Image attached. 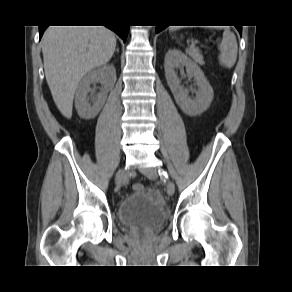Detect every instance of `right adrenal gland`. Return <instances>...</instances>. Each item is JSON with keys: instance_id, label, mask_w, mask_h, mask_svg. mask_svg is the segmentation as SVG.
Instances as JSON below:
<instances>
[{"instance_id": "2a0ac1e0", "label": "right adrenal gland", "mask_w": 292, "mask_h": 292, "mask_svg": "<svg viewBox=\"0 0 292 292\" xmlns=\"http://www.w3.org/2000/svg\"><path fill=\"white\" fill-rule=\"evenodd\" d=\"M116 51L119 52V49L117 48Z\"/></svg>"}]
</instances>
